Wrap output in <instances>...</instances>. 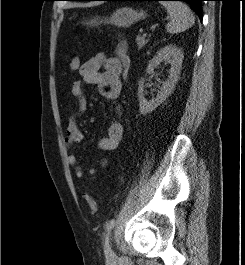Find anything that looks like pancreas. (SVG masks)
<instances>
[{"mask_svg": "<svg viewBox=\"0 0 245 265\" xmlns=\"http://www.w3.org/2000/svg\"><path fill=\"white\" fill-rule=\"evenodd\" d=\"M148 39L145 38V36L138 35L136 37V43L139 49L144 47L148 43Z\"/></svg>", "mask_w": 245, "mask_h": 265, "instance_id": "cf45deb5", "label": "pancreas"}]
</instances>
